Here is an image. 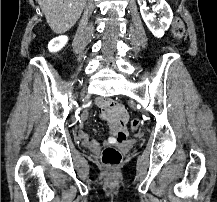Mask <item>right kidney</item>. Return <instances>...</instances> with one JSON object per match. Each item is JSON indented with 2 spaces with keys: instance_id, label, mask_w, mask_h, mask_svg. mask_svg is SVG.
<instances>
[{
  "instance_id": "ca27d5eb",
  "label": "right kidney",
  "mask_w": 217,
  "mask_h": 202,
  "mask_svg": "<svg viewBox=\"0 0 217 202\" xmlns=\"http://www.w3.org/2000/svg\"><path fill=\"white\" fill-rule=\"evenodd\" d=\"M68 38L66 36H59V38H53L51 42L48 44L49 52H58V50H62L65 44H67Z\"/></svg>"
}]
</instances>
